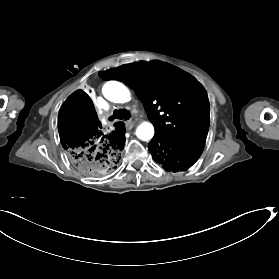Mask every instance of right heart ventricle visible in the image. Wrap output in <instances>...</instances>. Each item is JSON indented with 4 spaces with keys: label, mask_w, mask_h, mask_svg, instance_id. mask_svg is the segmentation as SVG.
<instances>
[{
    "label": "right heart ventricle",
    "mask_w": 279,
    "mask_h": 279,
    "mask_svg": "<svg viewBox=\"0 0 279 279\" xmlns=\"http://www.w3.org/2000/svg\"><path fill=\"white\" fill-rule=\"evenodd\" d=\"M97 65H95L93 68H91V70L89 71V75H93L96 71H97ZM116 84H118L120 87H122L123 89H125V87L121 84V83H118V82H114ZM126 90V89H125Z\"/></svg>",
    "instance_id": "obj_1"
}]
</instances>
